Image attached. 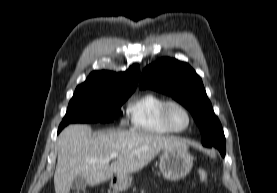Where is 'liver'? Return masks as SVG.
I'll use <instances>...</instances> for the list:
<instances>
[{"instance_id":"6515ba94","label":"liver","mask_w":277,"mask_h":193,"mask_svg":"<svg viewBox=\"0 0 277 193\" xmlns=\"http://www.w3.org/2000/svg\"><path fill=\"white\" fill-rule=\"evenodd\" d=\"M187 148L184 140L143 131L109 130L92 133L86 124L66 127L57 142L55 193H69L74 178L81 176L94 186L113 177L127 176L151 162L165 149ZM118 157L109 164L110 155Z\"/></svg>"}]
</instances>
